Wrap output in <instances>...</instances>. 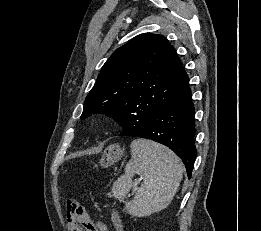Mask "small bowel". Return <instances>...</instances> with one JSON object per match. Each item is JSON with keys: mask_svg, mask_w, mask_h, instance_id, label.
<instances>
[{"mask_svg": "<svg viewBox=\"0 0 261 231\" xmlns=\"http://www.w3.org/2000/svg\"><path fill=\"white\" fill-rule=\"evenodd\" d=\"M92 222H93L94 227H95L94 231H108L107 225L104 223V221L102 219L98 218V219H96L95 221H92ZM66 228H67V231H83V229L81 228L80 225L75 224V223H71V222H68V221H67V224H66Z\"/></svg>", "mask_w": 261, "mask_h": 231, "instance_id": "c3829d8e", "label": "small bowel"}]
</instances>
